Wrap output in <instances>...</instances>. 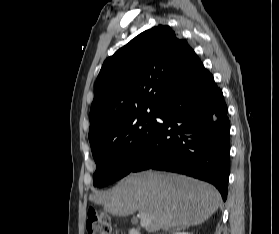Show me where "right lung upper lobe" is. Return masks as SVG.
Here are the masks:
<instances>
[{"mask_svg": "<svg viewBox=\"0 0 279 234\" xmlns=\"http://www.w3.org/2000/svg\"><path fill=\"white\" fill-rule=\"evenodd\" d=\"M200 64L187 41L167 25L136 36L105 60L97 77L90 109V144L132 114L159 108Z\"/></svg>", "mask_w": 279, "mask_h": 234, "instance_id": "obj_1", "label": "right lung upper lobe"}]
</instances>
